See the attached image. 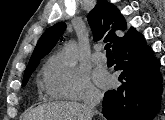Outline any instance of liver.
I'll return each instance as SVG.
<instances>
[{"label":"liver","instance_id":"6515ba94","mask_svg":"<svg viewBox=\"0 0 165 120\" xmlns=\"http://www.w3.org/2000/svg\"><path fill=\"white\" fill-rule=\"evenodd\" d=\"M26 120H86L85 107L77 102H52L33 109Z\"/></svg>","mask_w":165,"mask_h":120}]
</instances>
